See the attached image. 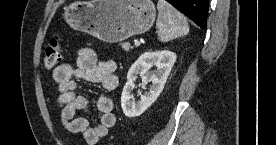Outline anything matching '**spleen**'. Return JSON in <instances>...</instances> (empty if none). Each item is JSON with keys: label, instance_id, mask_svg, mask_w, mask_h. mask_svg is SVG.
<instances>
[{"label": "spleen", "instance_id": "1", "mask_svg": "<svg viewBox=\"0 0 276 145\" xmlns=\"http://www.w3.org/2000/svg\"><path fill=\"white\" fill-rule=\"evenodd\" d=\"M157 9L158 18L156 27L158 29L159 41L168 42L189 32L186 18L170 3L165 0H159Z\"/></svg>", "mask_w": 276, "mask_h": 145}]
</instances>
